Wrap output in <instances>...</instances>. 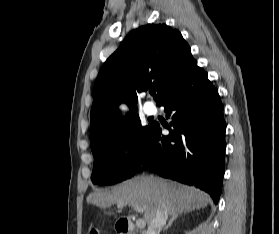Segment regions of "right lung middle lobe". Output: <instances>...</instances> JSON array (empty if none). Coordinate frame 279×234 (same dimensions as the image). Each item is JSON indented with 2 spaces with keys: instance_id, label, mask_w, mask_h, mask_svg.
Returning a JSON list of instances; mask_svg holds the SVG:
<instances>
[{
  "instance_id": "dd1d6c3e",
  "label": "right lung middle lobe",
  "mask_w": 279,
  "mask_h": 234,
  "mask_svg": "<svg viewBox=\"0 0 279 234\" xmlns=\"http://www.w3.org/2000/svg\"><path fill=\"white\" fill-rule=\"evenodd\" d=\"M152 124L142 126L137 114L120 128L91 145L94 156L91 180L98 185H112L132 177L139 169L147 150ZM128 145L132 159L126 162L124 149Z\"/></svg>"
}]
</instances>
